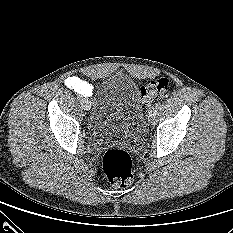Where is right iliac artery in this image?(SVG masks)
Listing matches in <instances>:
<instances>
[{"label":"right iliac artery","mask_w":233,"mask_h":233,"mask_svg":"<svg viewBox=\"0 0 233 233\" xmlns=\"http://www.w3.org/2000/svg\"><path fill=\"white\" fill-rule=\"evenodd\" d=\"M83 98L82 96H77V101L82 102Z\"/></svg>","instance_id":"1"}]
</instances>
